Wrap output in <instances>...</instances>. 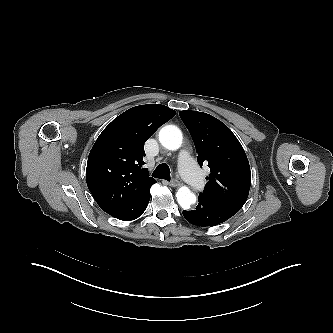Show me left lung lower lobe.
I'll use <instances>...</instances> for the list:
<instances>
[{"mask_svg":"<svg viewBox=\"0 0 333 333\" xmlns=\"http://www.w3.org/2000/svg\"><path fill=\"white\" fill-rule=\"evenodd\" d=\"M198 205L195 210L183 211L185 219L193 225L207 227L218 225L234 214L216 203L204 198L198 197Z\"/></svg>","mask_w":333,"mask_h":333,"instance_id":"0a47b994","label":"left lung lower lobe"}]
</instances>
